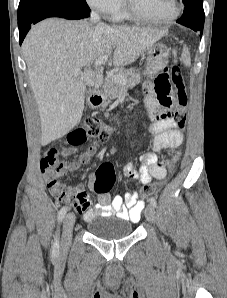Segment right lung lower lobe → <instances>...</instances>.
<instances>
[{
    "mask_svg": "<svg viewBox=\"0 0 227 298\" xmlns=\"http://www.w3.org/2000/svg\"><path fill=\"white\" fill-rule=\"evenodd\" d=\"M89 16V11L70 8L63 5H46L39 7L26 15L18 18L19 27V42H23L26 34L31 28L32 24H35L45 18L49 17H61L66 19H82Z\"/></svg>",
    "mask_w": 227,
    "mask_h": 298,
    "instance_id": "right-lung-lower-lobe-1",
    "label": "right lung lower lobe"
}]
</instances>
